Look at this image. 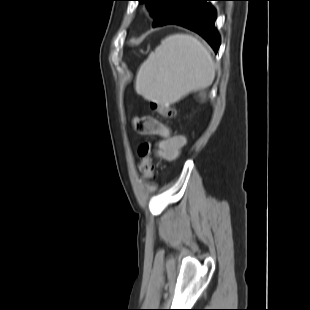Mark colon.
<instances>
[{
	"label": "colon",
	"mask_w": 310,
	"mask_h": 310,
	"mask_svg": "<svg viewBox=\"0 0 310 310\" xmlns=\"http://www.w3.org/2000/svg\"><path fill=\"white\" fill-rule=\"evenodd\" d=\"M151 109L157 115L171 119L175 115L173 104L163 101H152ZM140 156V170L145 180H150L154 177L155 165L153 161V148L150 142H144L138 149Z\"/></svg>",
	"instance_id": "5ec220e1"
}]
</instances>
